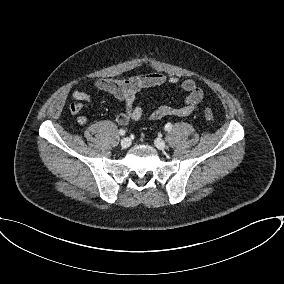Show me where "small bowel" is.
Segmentation results:
<instances>
[{
    "label": "small bowel",
    "instance_id": "obj_1",
    "mask_svg": "<svg viewBox=\"0 0 284 284\" xmlns=\"http://www.w3.org/2000/svg\"><path fill=\"white\" fill-rule=\"evenodd\" d=\"M180 82L176 76L168 77L159 72L140 74L124 79L100 78L92 82V86L97 90L109 93L116 99L123 102V108L118 113L116 121L120 125H126L130 121L139 120L147 115L149 120H160L166 116H188L198 109L204 97L201 87L192 79H186L180 83V89L186 94L183 104L180 107L162 105L152 111L135 106L136 94L142 89L152 88L162 85H175ZM73 102L69 105L72 114H78L77 122L80 125L87 123V117L80 114L81 110L88 106L91 97L82 90H74L72 93Z\"/></svg>",
    "mask_w": 284,
    "mask_h": 284
}]
</instances>
